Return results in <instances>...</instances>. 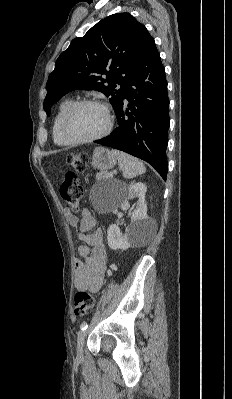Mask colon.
Wrapping results in <instances>:
<instances>
[{
    "mask_svg": "<svg viewBox=\"0 0 232 399\" xmlns=\"http://www.w3.org/2000/svg\"><path fill=\"white\" fill-rule=\"evenodd\" d=\"M66 167L72 168V172H85L86 164V153L74 154L72 152L68 153L66 156ZM76 180H78V175H62V185H76ZM58 194H71L72 196H77V198H62V203H83L82 198V185L77 186H60L58 189ZM79 293L81 295H86L88 293L87 289H80ZM73 301H81L77 303L76 312L78 316H91L92 318H97V305L98 297H93L91 301V295L86 296H73Z\"/></svg>",
    "mask_w": 232,
    "mask_h": 399,
    "instance_id": "1",
    "label": "colon"
}]
</instances>
